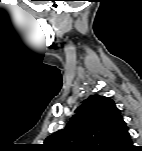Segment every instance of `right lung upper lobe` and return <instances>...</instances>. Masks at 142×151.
I'll use <instances>...</instances> for the list:
<instances>
[{"label":"right lung upper lobe","instance_id":"obj_1","mask_svg":"<svg viewBox=\"0 0 142 151\" xmlns=\"http://www.w3.org/2000/svg\"><path fill=\"white\" fill-rule=\"evenodd\" d=\"M62 130L44 141L49 151H117L130 141L128 127L114 101L91 95Z\"/></svg>","mask_w":142,"mask_h":151}]
</instances>
